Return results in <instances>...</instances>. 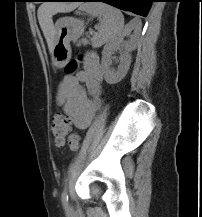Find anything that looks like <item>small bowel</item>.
I'll return each mask as SVG.
<instances>
[{
	"label": "small bowel",
	"instance_id": "small-bowel-1",
	"mask_svg": "<svg viewBox=\"0 0 202 217\" xmlns=\"http://www.w3.org/2000/svg\"><path fill=\"white\" fill-rule=\"evenodd\" d=\"M103 71L96 56L86 59L75 75H65L57 88V100L69 114L74 126L86 129L103 105ZM85 85V87L83 86Z\"/></svg>",
	"mask_w": 202,
	"mask_h": 217
}]
</instances>
